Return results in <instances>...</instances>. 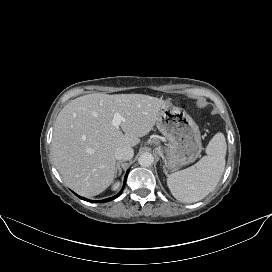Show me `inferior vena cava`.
Segmentation results:
<instances>
[{"label":"inferior vena cava","instance_id":"602c4592","mask_svg":"<svg viewBox=\"0 0 272 272\" xmlns=\"http://www.w3.org/2000/svg\"><path fill=\"white\" fill-rule=\"evenodd\" d=\"M114 155L117 160L127 161L133 157L134 152L129 146H121L115 150Z\"/></svg>","mask_w":272,"mask_h":272}]
</instances>
